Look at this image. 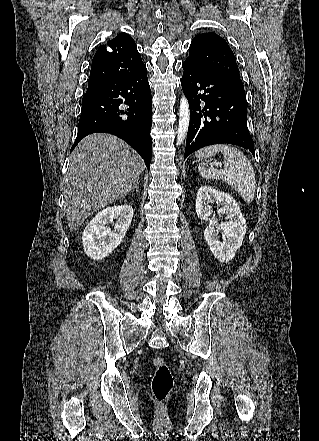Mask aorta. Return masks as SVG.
Wrapping results in <instances>:
<instances>
[{
	"instance_id": "obj_1",
	"label": "aorta",
	"mask_w": 319,
	"mask_h": 441,
	"mask_svg": "<svg viewBox=\"0 0 319 441\" xmlns=\"http://www.w3.org/2000/svg\"><path fill=\"white\" fill-rule=\"evenodd\" d=\"M190 122V109L187 99L182 96L180 100V109H179V126H178V135H177V144L183 143Z\"/></svg>"
}]
</instances>
